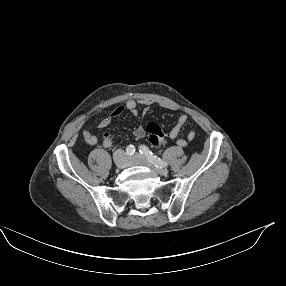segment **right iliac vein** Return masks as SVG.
Returning a JSON list of instances; mask_svg holds the SVG:
<instances>
[{
    "mask_svg": "<svg viewBox=\"0 0 286 286\" xmlns=\"http://www.w3.org/2000/svg\"><path fill=\"white\" fill-rule=\"evenodd\" d=\"M115 164L118 169H124L128 166L129 160L125 154H120L116 159Z\"/></svg>",
    "mask_w": 286,
    "mask_h": 286,
    "instance_id": "63e3f726",
    "label": "right iliac vein"
}]
</instances>
